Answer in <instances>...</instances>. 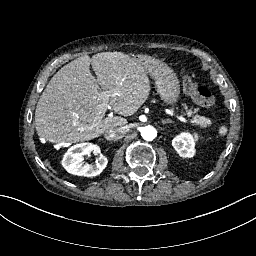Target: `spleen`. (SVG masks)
Listing matches in <instances>:
<instances>
[{
  "label": "spleen",
  "instance_id": "3e777b00",
  "mask_svg": "<svg viewBox=\"0 0 256 256\" xmlns=\"http://www.w3.org/2000/svg\"><path fill=\"white\" fill-rule=\"evenodd\" d=\"M227 131H228L227 127L221 126L220 129H219V134L221 136H225L227 134Z\"/></svg>",
  "mask_w": 256,
  "mask_h": 256
}]
</instances>
